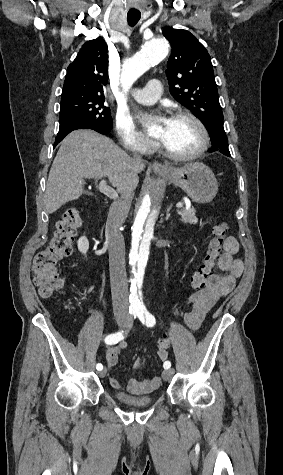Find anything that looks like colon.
Wrapping results in <instances>:
<instances>
[{
  "label": "colon",
  "mask_w": 283,
  "mask_h": 475,
  "mask_svg": "<svg viewBox=\"0 0 283 475\" xmlns=\"http://www.w3.org/2000/svg\"><path fill=\"white\" fill-rule=\"evenodd\" d=\"M80 223L81 216L76 207L65 209L56 224L49 244L38 250L33 258V280L39 294L44 298L52 297L55 292L62 290L64 286L63 278L57 274L56 264L59 260L71 254L72 240ZM225 240L226 225L219 222L213 227V237L207 253L192 276V289L194 291H199L212 280L214 264L221 253ZM169 345L170 338L168 336L160 337L157 340L156 361L158 363L166 361V350Z\"/></svg>",
  "instance_id": "5ec220e1"
}]
</instances>
